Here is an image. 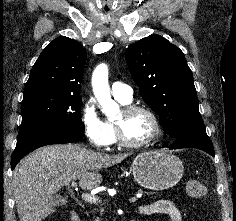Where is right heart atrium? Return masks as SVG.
<instances>
[{"instance_id": "1", "label": "right heart atrium", "mask_w": 236, "mask_h": 221, "mask_svg": "<svg viewBox=\"0 0 236 221\" xmlns=\"http://www.w3.org/2000/svg\"><path fill=\"white\" fill-rule=\"evenodd\" d=\"M79 117L83 133L92 145L100 148L110 144L106 122L101 118L92 99L83 102Z\"/></svg>"}]
</instances>
